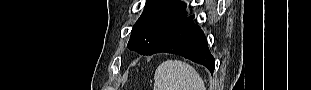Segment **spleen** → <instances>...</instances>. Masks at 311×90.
<instances>
[{
	"instance_id": "1",
	"label": "spleen",
	"mask_w": 311,
	"mask_h": 90,
	"mask_svg": "<svg viewBox=\"0 0 311 90\" xmlns=\"http://www.w3.org/2000/svg\"><path fill=\"white\" fill-rule=\"evenodd\" d=\"M154 90H206L197 71L180 60L161 63L154 75Z\"/></svg>"
}]
</instances>
